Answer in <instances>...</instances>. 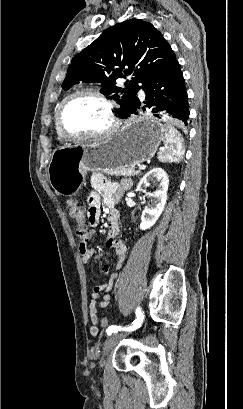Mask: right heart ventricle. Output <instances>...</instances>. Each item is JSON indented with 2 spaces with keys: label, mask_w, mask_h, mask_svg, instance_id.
Wrapping results in <instances>:
<instances>
[{
  "label": "right heart ventricle",
  "mask_w": 243,
  "mask_h": 409,
  "mask_svg": "<svg viewBox=\"0 0 243 409\" xmlns=\"http://www.w3.org/2000/svg\"><path fill=\"white\" fill-rule=\"evenodd\" d=\"M58 107H59V106H58ZM58 107H57V109H56V113H57ZM56 113H55V117H56ZM55 123H56V121H55ZM56 132H57L58 137H59L61 140H64V138L60 135V133H59V131H58V129H57V125H56Z\"/></svg>",
  "instance_id": "obj_1"
}]
</instances>
